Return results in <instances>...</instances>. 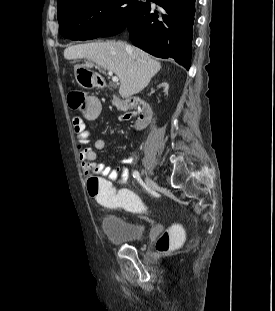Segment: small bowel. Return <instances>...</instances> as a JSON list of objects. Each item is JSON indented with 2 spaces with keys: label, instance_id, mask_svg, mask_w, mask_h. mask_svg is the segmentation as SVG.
Wrapping results in <instances>:
<instances>
[{
  "label": "small bowel",
  "instance_id": "obj_1",
  "mask_svg": "<svg viewBox=\"0 0 275 311\" xmlns=\"http://www.w3.org/2000/svg\"><path fill=\"white\" fill-rule=\"evenodd\" d=\"M135 116V113H127L121 117L122 120H128ZM73 129L76 133L78 159L81 163V168L84 175L90 178L92 175H103L104 178H111V183L118 182L119 185H125L129 177V171L125 166L112 168L104 162L96 161L95 150H103L106 146V141L103 138H98L94 141V148L90 143V134L86 130L84 121L81 118L73 119ZM132 162L131 158H124L121 164L126 165Z\"/></svg>",
  "mask_w": 275,
  "mask_h": 311
}]
</instances>
